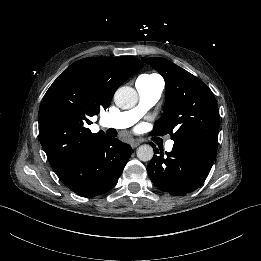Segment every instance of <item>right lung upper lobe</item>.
Masks as SVG:
<instances>
[{"label":"right lung upper lobe","instance_id":"1","mask_svg":"<svg viewBox=\"0 0 261 261\" xmlns=\"http://www.w3.org/2000/svg\"><path fill=\"white\" fill-rule=\"evenodd\" d=\"M142 66L132 56L90 57L73 63L52 83L38 121L41 145L56 172L105 137L91 133L89 118L106 109L117 88Z\"/></svg>","mask_w":261,"mask_h":261}]
</instances>
